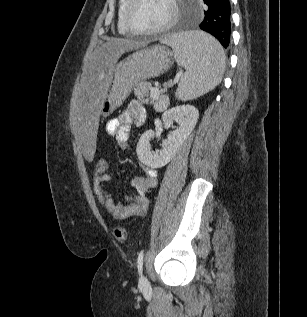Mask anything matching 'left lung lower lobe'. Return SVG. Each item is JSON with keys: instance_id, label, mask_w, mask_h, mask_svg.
Masks as SVG:
<instances>
[{"instance_id": "1", "label": "left lung lower lobe", "mask_w": 307, "mask_h": 317, "mask_svg": "<svg viewBox=\"0 0 307 317\" xmlns=\"http://www.w3.org/2000/svg\"><path fill=\"white\" fill-rule=\"evenodd\" d=\"M207 10L199 28L213 35L224 48H228L231 33V7L229 0H203Z\"/></svg>"}]
</instances>
